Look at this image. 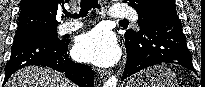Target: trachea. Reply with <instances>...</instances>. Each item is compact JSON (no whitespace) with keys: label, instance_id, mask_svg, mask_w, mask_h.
Listing matches in <instances>:
<instances>
[{"label":"trachea","instance_id":"3493384b","mask_svg":"<svg viewBox=\"0 0 205 87\" xmlns=\"http://www.w3.org/2000/svg\"><path fill=\"white\" fill-rule=\"evenodd\" d=\"M80 12L79 14H71L69 12H64L66 17L80 18L87 16L88 12L92 8L100 9V5L98 4V0H81L80 2ZM120 22H128L127 20H120Z\"/></svg>","mask_w":205,"mask_h":87}]
</instances>
